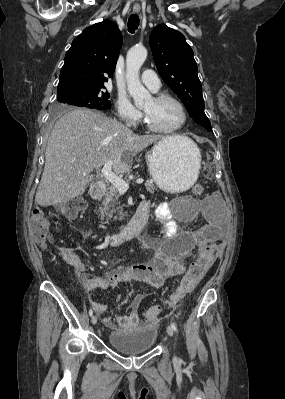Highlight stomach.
Returning a JSON list of instances; mask_svg holds the SVG:
<instances>
[{
    "mask_svg": "<svg viewBox=\"0 0 285 399\" xmlns=\"http://www.w3.org/2000/svg\"><path fill=\"white\" fill-rule=\"evenodd\" d=\"M146 161L160 189L167 193H181L197 180L201 153L191 139L176 136L156 143L147 153Z\"/></svg>",
    "mask_w": 285,
    "mask_h": 399,
    "instance_id": "1",
    "label": "stomach"
}]
</instances>
